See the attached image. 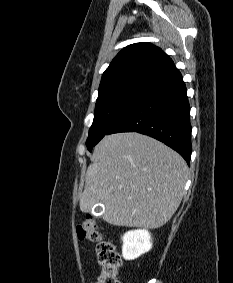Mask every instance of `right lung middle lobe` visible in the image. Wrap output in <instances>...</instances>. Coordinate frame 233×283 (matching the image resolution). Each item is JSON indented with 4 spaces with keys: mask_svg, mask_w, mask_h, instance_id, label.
Segmentation results:
<instances>
[{
    "mask_svg": "<svg viewBox=\"0 0 233 283\" xmlns=\"http://www.w3.org/2000/svg\"><path fill=\"white\" fill-rule=\"evenodd\" d=\"M150 81L130 80L99 90L95 115L86 145L89 151L108 134L111 127L128 110Z\"/></svg>",
    "mask_w": 233,
    "mask_h": 283,
    "instance_id": "right-lung-middle-lobe-1",
    "label": "right lung middle lobe"
}]
</instances>
